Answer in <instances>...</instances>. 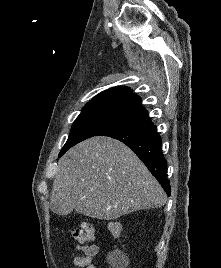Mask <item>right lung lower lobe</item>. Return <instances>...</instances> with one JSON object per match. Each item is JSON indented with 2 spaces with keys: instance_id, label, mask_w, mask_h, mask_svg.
Returning a JSON list of instances; mask_svg holds the SVG:
<instances>
[{
  "instance_id": "obj_1",
  "label": "right lung lower lobe",
  "mask_w": 221,
  "mask_h": 268,
  "mask_svg": "<svg viewBox=\"0 0 221 268\" xmlns=\"http://www.w3.org/2000/svg\"><path fill=\"white\" fill-rule=\"evenodd\" d=\"M98 135L110 136L130 147L159 181L168 196L170 195L167 161L160 147L161 137L148 115L125 121Z\"/></svg>"
}]
</instances>
